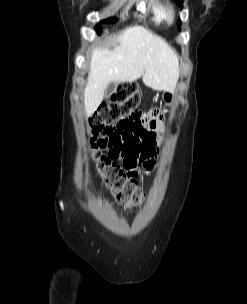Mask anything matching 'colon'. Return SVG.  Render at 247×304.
<instances>
[{
	"mask_svg": "<svg viewBox=\"0 0 247 304\" xmlns=\"http://www.w3.org/2000/svg\"><path fill=\"white\" fill-rule=\"evenodd\" d=\"M137 104L138 97L133 89L128 84L122 83L89 120V132L92 136L90 146L91 162L117 200L128 206L142 204L145 195L139 189L135 180L126 172L125 167L115 165V162H109L108 156L101 153V148L104 146L100 136L109 132V130H118L114 128L115 122H124V120H159L126 119V112H137L135 111Z\"/></svg>",
	"mask_w": 247,
	"mask_h": 304,
	"instance_id": "1",
	"label": "colon"
}]
</instances>
